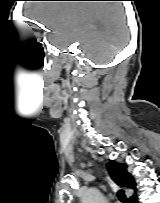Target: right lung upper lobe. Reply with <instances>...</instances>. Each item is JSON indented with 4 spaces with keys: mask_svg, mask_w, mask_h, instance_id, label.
Instances as JSON below:
<instances>
[{
    "mask_svg": "<svg viewBox=\"0 0 160 203\" xmlns=\"http://www.w3.org/2000/svg\"><path fill=\"white\" fill-rule=\"evenodd\" d=\"M126 168V164H119L115 161H110L107 164L109 174L116 184H118L120 187H130L132 189H136L135 181L133 177L129 175ZM130 201H136V196L133 195L130 198Z\"/></svg>",
    "mask_w": 160,
    "mask_h": 203,
    "instance_id": "cb5924a9",
    "label": "right lung upper lobe"
}]
</instances>
